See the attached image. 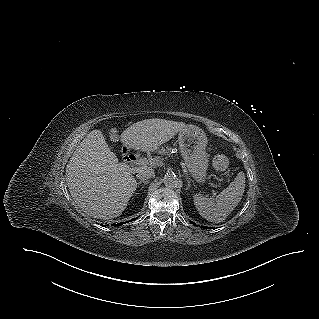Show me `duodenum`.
Returning <instances> with one entry per match:
<instances>
[{"instance_id": "duodenum-1", "label": "duodenum", "mask_w": 319, "mask_h": 319, "mask_svg": "<svg viewBox=\"0 0 319 319\" xmlns=\"http://www.w3.org/2000/svg\"><path fill=\"white\" fill-rule=\"evenodd\" d=\"M123 159L128 164H134L138 161L135 154L127 148H124L123 150Z\"/></svg>"}]
</instances>
